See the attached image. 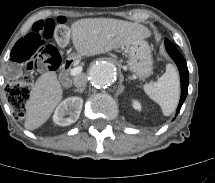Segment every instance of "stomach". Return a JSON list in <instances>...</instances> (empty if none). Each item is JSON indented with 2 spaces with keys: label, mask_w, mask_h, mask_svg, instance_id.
<instances>
[{
  "label": "stomach",
  "mask_w": 215,
  "mask_h": 183,
  "mask_svg": "<svg viewBox=\"0 0 215 183\" xmlns=\"http://www.w3.org/2000/svg\"><path fill=\"white\" fill-rule=\"evenodd\" d=\"M128 67L139 78L143 79L152 74L153 59L151 49L144 40L137 41L127 46Z\"/></svg>",
  "instance_id": "0dacf381"
}]
</instances>
